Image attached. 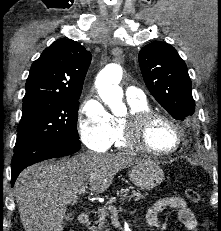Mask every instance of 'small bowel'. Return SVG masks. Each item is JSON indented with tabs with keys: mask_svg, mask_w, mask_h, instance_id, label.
Here are the masks:
<instances>
[{
	"mask_svg": "<svg viewBox=\"0 0 221 231\" xmlns=\"http://www.w3.org/2000/svg\"><path fill=\"white\" fill-rule=\"evenodd\" d=\"M165 209L176 210L180 222L188 230L199 231V225L195 214L188 208L186 201L180 196H166L156 200L148 210V224L152 227L159 228L158 214Z\"/></svg>",
	"mask_w": 221,
	"mask_h": 231,
	"instance_id": "small-bowel-1",
	"label": "small bowel"
}]
</instances>
